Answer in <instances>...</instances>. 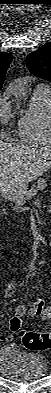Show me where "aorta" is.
<instances>
[{"mask_svg":"<svg viewBox=\"0 0 51 393\" xmlns=\"http://www.w3.org/2000/svg\"><path fill=\"white\" fill-rule=\"evenodd\" d=\"M15 90H16V92H17L19 95L24 96V95L26 94V89H25V88H22V87H20V86H18Z\"/></svg>","mask_w":51,"mask_h":393,"instance_id":"aorta-1","label":"aorta"}]
</instances>
